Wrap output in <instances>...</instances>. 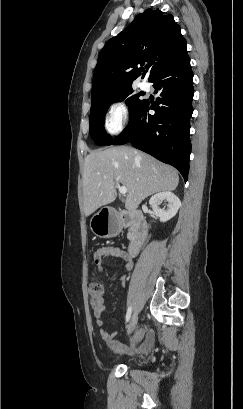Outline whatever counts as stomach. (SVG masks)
Listing matches in <instances>:
<instances>
[{"label": "stomach", "mask_w": 243, "mask_h": 409, "mask_svg": "<svg viewBox=\"0 0 243 409\" xmlns=\"http://www.w3.org/2000/svg\"><path fill=\"white\" fill-rule=\"evenodd\" d=\"M90 226L94 234L102 238H109L115 234L108 224L107 218H104L101 212L93 216Z\"/></svg>", "instance_id": "obj_1"}]
</instances>
